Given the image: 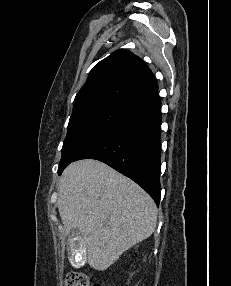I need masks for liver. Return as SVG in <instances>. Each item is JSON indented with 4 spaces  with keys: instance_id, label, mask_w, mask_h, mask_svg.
<instances>
[{
    "instance_id": "1",
    "label": "liver",
    "mask_w": 231,
    "mask_h": 286,
    "mask_svg": "<svg viewBox=\"0 0 231 286\" xmlns=\"http://www.w3.org/2000/svg\"><path fill=\"white\" fill-rule=\"evenodd\" d=\"M57 206L65 233L78 235L76 240L86 246L88 264L101 271L147 239L157 224L153 199L97 160L77 161L64 170Z\"/></svg>"
}]
</instances>
